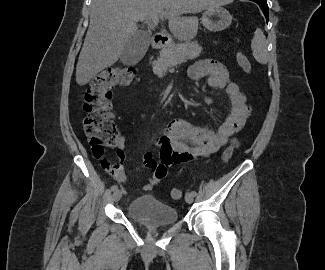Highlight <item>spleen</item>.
<instances>
[{"mask_svg": "<svg viewBox=\"0 0 325 270\" xmlns=\"http://www.w3.org/2000/svg\"><path fill=\"white\" fill-rule=\"evenodd\" d=\"M254 58L261 64L268 62L267 41L260 28H257L251 42Z\"/></svg>", "mask_w": 325, "mask_h": 270, "instance_id": "obj_1", "label": "spleen"}]
</instances>
